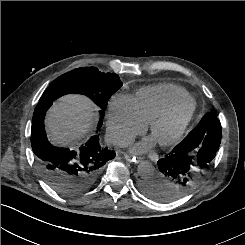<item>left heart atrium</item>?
Wrapping results in <instances>:
<instances>
[{
	"mask_svg": "<svg viewBox=\"0 0 245 245\" xmlns=\"http://www.w3.org/2000/svg\"><path fill=\"white\" fill-rule=\"evenodd\" d=\"M152 145V141H142L133 146L132 150L137 153H142L148 150Z\"/></svg>",
	"mask_w": 245,
	"mask_h": 245,
	"instance_id": "left-heart-atrium-1",
	"label": "left heart atrium"
}]
</instances>
